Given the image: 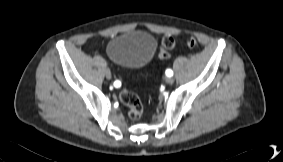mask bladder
<instances>
[{"label":"bladder","mask_w":283,"mask_h":162,"mask_svg":"<svg viewBox=\"0 0 283 162\" xmlns=\"http://www.w3.org/2000/svg\"><path fill=\"white\" fill-rule=\"evenodd\" d=\"M156 51V39L143 31L124 32L114 37L107 45V52L115 62L131 68L145 66Z\"/></svg>","instance_id":"31cf9c89"}]
</instances>
